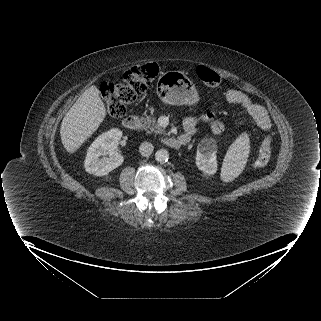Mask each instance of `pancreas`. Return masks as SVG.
Masks as SVG:
<instances>
[{"label": "pancreas", "mask_w": 321, "mask_h": 321, "mask_svg": "<svg viewBox=\"0 0 321 321\" xmlns=\"http://www.w3.org/2000/svg\"><path fill=\"white\" fill-rule=\"evenodd\" d=\"M143 129L147 132V133H156V134H162L165 132L164 129H162L156 122L154 118L151 117H146L143 118Z\"/></svg>", "instance_id": "cf45deb5"}]
</instances>
